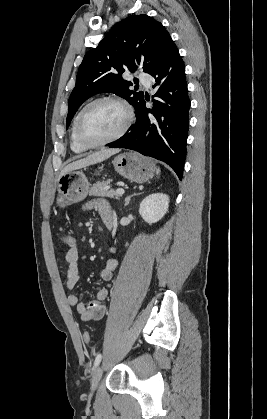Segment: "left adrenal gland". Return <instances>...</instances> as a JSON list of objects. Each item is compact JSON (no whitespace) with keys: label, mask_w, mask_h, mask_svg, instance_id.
<instances>
[{"label":"left adrenal gland","mask_w":267,"mask_h":419,"mask_svg":"<svg viewBox=\"0 0 267 419\" xmlns=\"http://www.w3.org/2000/svg\"><path fill=\"white\" fill-rule=\"evenodd\" d=\"M139 194H140V193H139ZM139 194H133V195L128 196V197L125 199V204H124V206H127V205L129 204V202H130V200H131V198H132L133 196H136V195H139Z\"/></svg>","instance_id":"a2214340"}]
</instances>
